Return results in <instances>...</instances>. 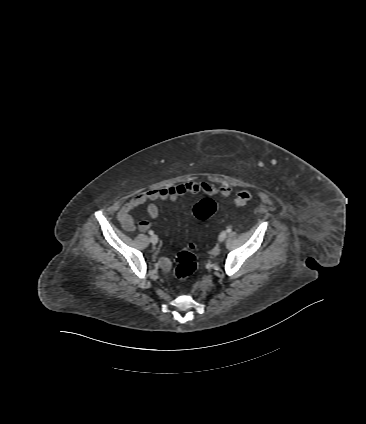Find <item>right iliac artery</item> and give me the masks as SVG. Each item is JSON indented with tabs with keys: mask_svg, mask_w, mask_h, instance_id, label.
I'll return each instance as SVG.
<instances>
[{
	"mask_svg": "<svg viewBox=\"0 0 366 424\" xmlns=\"http://www.w3.org/2000/svg\"><path fill=\"white\" fill-rule=\"evenodd\" d=\"M149 234H150V235H153V234H154V232H153L152 230H150V231H149Z\"/></svg>",
	"mask_w": 366,
	"mask_h": 424,
	"instance_id": "obj_1",
	"label": "right iliac artery"
}]
</instances>
